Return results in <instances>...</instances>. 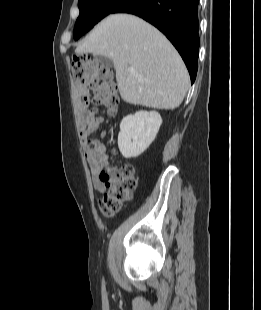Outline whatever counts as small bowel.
<instances>
[{
  "instance_id": "1",
  "label": "small bowel",
  "mask_w": 261,
  "mask_h": 310,
  "mask_svg": "<svg viewBox=\"0 0 261 310\" xmlns=\"http://www.w3.org/2000/svg\"><path fill=\"white\" fill-rule=\"evenodd\" d=\"M75 92L81 103L78 110V125L84 141V151L89 163L93 186L97 191L103 192L106 187L100 179V174L108 165L106 145L100 140L91 137L101 125L102 118L96 117L92 112L84 108L90 99L87 87L77 84ZM104 136L105 132L102 133V137Z\"/></svg>"
}]
</instances>
